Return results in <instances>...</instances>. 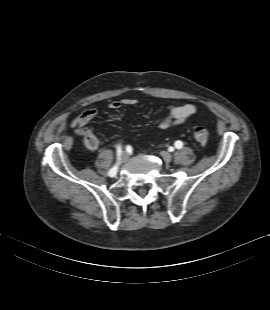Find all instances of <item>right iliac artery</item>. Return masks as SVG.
<instances>
[{
	"mask_svg": "<svg viewBox=\"0 0 270 310\" xmlns=\"http://www.w3.org/2000/svg\"><path fill=\"white\" fill-rule=\"evenodd\" d=\"M121 147L118 146V149H117V155L120 156L121 155ZM117 173V166H114L113 168H111L108 172L109 176L110 177H114Z\"/></svg>",
	"mask_w": 270,
	"mask_h": 310,
	"instance_id": "obj_1",
	"label": "right iliac artery"
}]
</instances>
